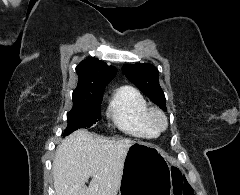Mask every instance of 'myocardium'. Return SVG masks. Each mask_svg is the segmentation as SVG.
Instances as JSON below:
<instances>
[{
    "label": "myocardium",
    "mask_w": 240,
    "mask_h": 195,
    "mask_svg": "<svg viewBox=\"0 0 240 195\" xmlns=\"http://www.w3.org/2000/svg\"><path fill=\"white\" fill-rule=\"evenodd\" d=\"M149 124L157 131H163L167 127L165 114L158 108H149L147 113Z\"/></svg>",
    "instance_id": "myocardium-1"
}]
</instances>
